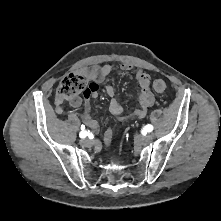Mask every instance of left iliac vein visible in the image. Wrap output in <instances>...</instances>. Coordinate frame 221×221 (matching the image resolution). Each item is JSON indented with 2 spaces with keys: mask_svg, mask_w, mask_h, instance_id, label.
Masks as SVG:
<instances>
[{
  "mask_svg": "<svg viewBox=\"0 0 221 221\" xmlns=\"http://www.w3.org/2000/svg\"><path fill=\"white\" fill-rule=\"evenodd\" d=\"M153 140V136L152 135H145V136H136V141L138 144H141V145H147L149 144L150 142H152Z\"/></svg>",
  "mask_w": 221,
  "mask_h": 221,
  "instance_id": "4c4485c4",
  "label": "left iliac vein"
}]
</instances>
